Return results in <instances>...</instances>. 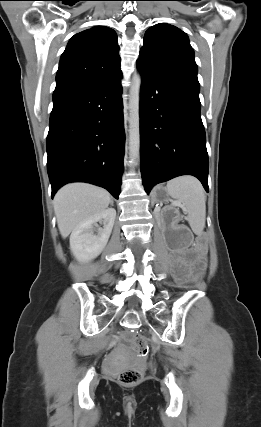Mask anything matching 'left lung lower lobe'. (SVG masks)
<instances>
[{
	"instance_id": "obj_1",
	"label": "left lung lower lobe",
	"mask_w": 261,
	"mask_h": 427,
	"mask_svg": "<svg viewBox=\"0 0 261 427\" xmlns=\"http://www.w3.org/2000/svg\"><path fill=\"white\" fill-rule=\"evenodd\" d=\"M140 157L145 191L180 175L197 177L208 192V153L196 77L137 60Z\"/></svg>"
}]
</instances>
